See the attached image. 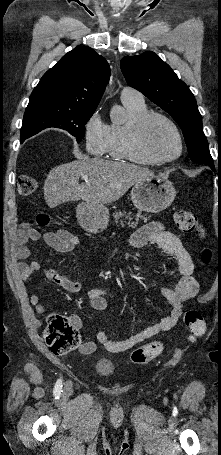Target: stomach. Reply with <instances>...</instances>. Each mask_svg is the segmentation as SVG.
<instances>
[{
	"label": "stomach",
	"instance_id": "1",
	"mask_svg": "<svg viewBox=\"0 0 221 455\" xmlns=\"http://www.w3.org/2000/svg\"><path fill=\"white\" fill-rule=\"evenodd\" d=\"M176 197L173 183L161 176H151L135 183L131 199L141 211L157 213L168 208ZM79 224L88 232L103 231L109 221V210L103 204L81 203L77 206Z\"/></svg>",
	"mask_w": 221,
	"mask_h": 455
}]
</instances>
